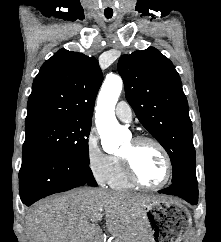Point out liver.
<instances>
[{
	"instance_id": "1",
	"label": "liver",
	"mask_w": 221,
	"mask_h": 242,
	"mask_svg": "<svg viewBox=\"0 0 221 242\" xmlns=\"http://www.w3.org/2000/svg\"><path fill=\"white\" fill-rule=\"evenodd\" d=\"M157 196L103 189H74L36 203L26 215L30 242H104V217L115 242H147L143 209Z\"/></svg>"
}]
</instances>
